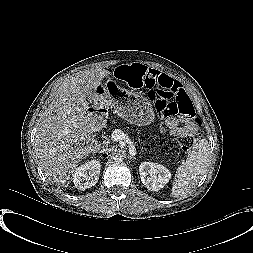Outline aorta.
Segmentation results:
<instances>
[{
    "mask_svg": "<svg viewBox=\"0 0 253 253\" xmlns=\"http://www.w3.org/2000/svg\"><path fill=\"white\" fill-rule=\"evenodd\" d=\"M114 161L117 162V163H120L123 161V156L121 154H116L114 156Z\"/></svg>",
    "mask_w": 253,
    "mask_h": 253,
    "instance_id": "762f6f07",
    "label": "aorta"
}]
</instances>
